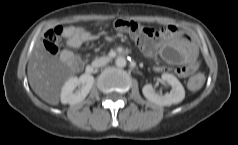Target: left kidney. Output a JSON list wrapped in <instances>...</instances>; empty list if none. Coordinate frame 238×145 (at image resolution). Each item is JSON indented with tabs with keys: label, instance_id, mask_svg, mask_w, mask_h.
<instances>
[{
	"label": "left kidney",
	"instance_id": "obj_1",
	"mask_svg": "<svg viewBox=\"0 0 238 145\" xmlns=\"http://www.w3.org/2000/svg\"><path fill=\"white\" fill-rule=\"evenodd\" d=\"M161 77L172 86L170 93L164 95L156 93L151 84H146L142 89L145 98L160 106H170L181 102L185 97V90L180 81L168 73L162 74Z\"/></svg>",
	"mask_w": 238,
	"mask_h": 145
}]
</instances>
